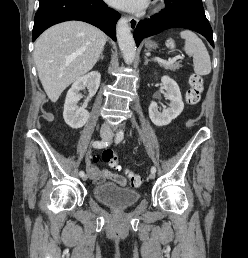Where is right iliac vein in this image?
<instances>
[{"instance_id": "1", "label": "right iliac vein", "mask_w": 248, "mask_h": 258, "mask_svg": "<svg viewBox=\"0 0 248 258\" xmlns=\"http://www.w3.org/2000/svg\"><path fill=\"white\" fill-rule=\"evenodd\" d=\"M109 137H110V136H109L108 133H106V132H101V138H102L103 140H108ZM87 178H88V175L85 174V175L82 177V180H83V181H86Z\"/></svg>"}]
</instances>
